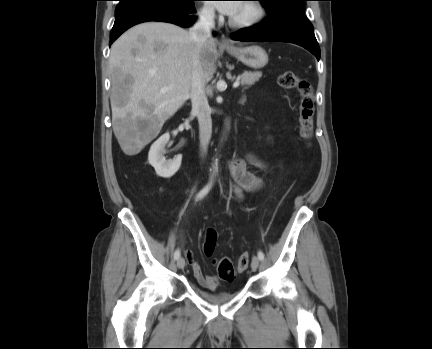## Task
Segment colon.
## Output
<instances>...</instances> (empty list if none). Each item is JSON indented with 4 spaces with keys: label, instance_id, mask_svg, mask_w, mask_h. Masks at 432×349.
<instances>
[{
    "label": "colon",
    "instance_id": "5ec220e1",
    "mask_svg": "<svg viewBox=\"0 0 432 349\" xmlns=\"http://www.w3.org/2000/svg\"><path fill=\"white\" fill-rule=\"evenodd\" d=\"M278 84L284 89L296 90L300 95L299 124L302 138L309 141L313 133L315 98L311 84L297 76L291 71L283 72L278 77ZM217 243V234L214 230L207 232L204 242V253L211 256L214 253ZM250 256L243 253L237 262L227 257L215 260L217 273L220 279L232 281L238 273L243 272L249 265Z\"/></svg>",
    "mask_w": 432,
    "mask_h": 349
}]
</instances>
